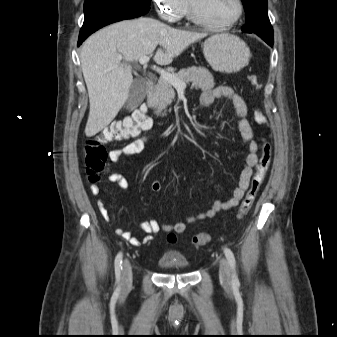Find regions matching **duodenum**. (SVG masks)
<instances>
[{"mask_svg":"<svg viewBox=\"0 0 337 337\" xmlns=\"http://www.w3.org/2000/svg\"><path fill=\"white\" fill-rule=\"evenodd\" d=\"M155 82H156V79H155V77L154 76H149L148 78H147V81H146V84H147V91L148 92H150L152 89H153V87H154V85H155ZM141 111H136L135 113H134V115H137V114H139ZM133 115V116H134Z\"/></svg>","mask_w":337,"mask_h":337,"instance_id":"1","label":"duodenum"}]
</instances>
